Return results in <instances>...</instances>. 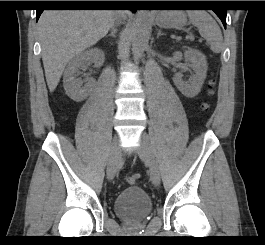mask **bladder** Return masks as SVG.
<instances>
[{"instance_id": "31cf9c89", "label": "bladder", "mask_w": 265, "mask_h": 245, "mask_svg": "<svg viewBox=\"0 0 265 245\" xmlns=\"http://www.w3.org/2000/svg\"><path fill=\"white\" fill-rule=\"evenodd\" d=\"M115 214L127 223L138 222L152 213L153 204L147 193L139 187L122 190L114 200Z\"/></svg>"}]
</instances>
